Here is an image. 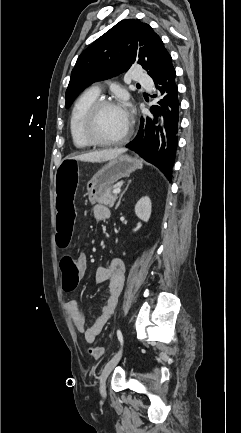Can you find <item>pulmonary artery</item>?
<instances>
[{
	"instance_id": "pulmonary-artery-1",
	"label": "pulmonary artery",
	"mask_w": 241,
	"mask_h": 433,
	"mask_svg": "<svg viewBox=\"0 0 241 433\" xmlns=\"http://www.w3.org/2000/svg\"><path fill=\"white\" fill-rule=\"evenodd\" d=\"M133 79L135 82L142 85L150 83L149 77L140 70H135L133 72ZM90 90L97 95L100 93V87L98 85H93Z\"/></svg>"
}]
</instances>
